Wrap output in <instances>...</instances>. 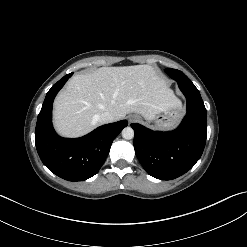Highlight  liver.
I'll list each match as a JSON object with an SVG mask.
<instances>
[{"label": "liver", "mask_w": 247, "mask_h": 247, "mask_svg": "<svg viewBox=\"0 0 247 247\" xmlns=\"http://www.w3.org/2000/svg\"><path fill=\"white\" fill-rule=\"evenodd\" d=\"M179 100L166 81L149 65L102 67L73 76L54 102V125L59 134L79 137L100 125L98 116L110 112L118 121L137 113L153 121Z\"/></svg>", "instance_id": "1"}]
</instances>
